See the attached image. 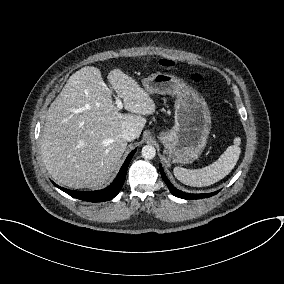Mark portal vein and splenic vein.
I'll return each instance as SVG.
<instances>
[{
    "label": "portal vein and splenic vein",
    "mask_w": 284,
    "mask_h": 284,
    "mask_svg": "<svg viewBox=\"0 0 284 284\" xmlns=\"http://www.w3.org/2000/svg\"><path fill=\"white\" fill-rule=\"evenodd\" d=\"M116 106L119 110L123 108V103L119 97H116Z\"/></svg>",
    "instance_id": "portal-vein-and-splenic-vein-1"
}]
</instances>
